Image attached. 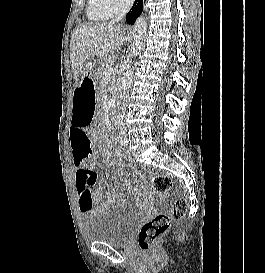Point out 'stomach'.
<instances>
[{"label":"stomach","mask_w":265,"mask_h":273,"mask_svg":"<svg viewBox=\"0 0 265 273\" xmlns=\"http://www.w3.org/2000/svg\"><path fill=\"white\" fill-rule=\"evenodd\" d=\"M95 63L93 60L89 61L85 73L82 76L80 85H76V90H96V85H94L95 76L92 72V68L94 67Z\"/></svg>","instance_id":"stomach-1"}]
</instances>
